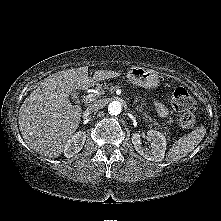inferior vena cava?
<instances>
[{
    "label": "inferior vena cava",
    "mask_w": 221,
    "mask_h": 221,
    "mask_svg": "<svg viewBox=\"0 0 221 221\" xmlns=\"http://www.w3.org/2000/svg\"><path fill=\"white\" fill-rule=\"evenodd\" d=\"M104 107V103L100 100L95 101L91 104H89V106L87 107V111L89 112H96L99 109H102Z\"/></svg>",
    "instance_id": "1"
}]
</instances>
